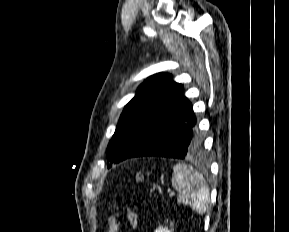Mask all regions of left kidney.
<instances>
[{
	"instance_id": "left-kidney-1",
	"label": "left kidney",
	"mask_w": 289,
	"mask_h": 232,
	"mask_svg": "<svg viewBox=\"0 0 289 232\" xmlns=\"http://www.w3.org/2000/svg\"><path fill=\"white\" fill-rule=\"evenodd\" d=\"M155 232H172L171 230H168L167 227H159Z\"/></svg>"
}]
</instances>
